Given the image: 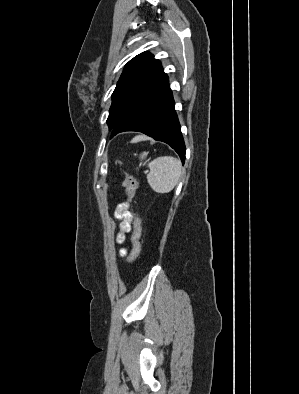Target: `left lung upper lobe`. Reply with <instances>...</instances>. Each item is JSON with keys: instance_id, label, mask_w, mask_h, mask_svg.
<instances>
[{"instance_id": "5c2ea615", "label": "left lung upper lobe", "mask_w": 299, "mask_h": 394, "mask_svg": "<svg viewBox=\"0 0 299 394\" xmlns=\"http://www.w3.org/2000/svg\"><path fill=\"white\" fill-rule=\"evenodd\" d=\"M163 68L159 60L149 52H143L131 59L112 94L107 124L113 129L126 114L136 99L161 75Z\"/></svg>"}]
</instances>
